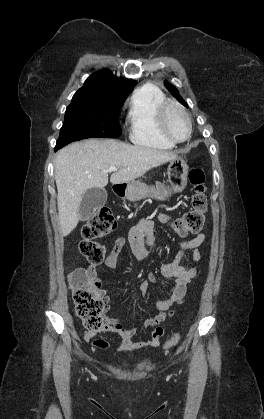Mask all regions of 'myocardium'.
I'll return each instance as SVG.
<instances>
[{
  "mask_svg": "<svg viewBox=\"0 0 264 419\" xmlns=\"http://www.w3.org/2000/svg\"><path fill=\"white\" fill-rule=\"evenodd\" d=\"M170 109H176L186 119V122L188 124V134L184 139H181V140L177 139L174 136H172L170 134V132L168 131L167 124H166V119H167V114H168ZM157 123H158V129H159L160 134L167 141H169L173 144H179V143H183V142L187 141L192 134V122H191L189 114L179 103H177L175 101H172V100H166L160 105V107L158 109V114H157Z\"/></svg>",
  "mask_w": 264,
  "mask_h": 419,
  "instance_id": "obj_1",
  "label": "myocardium"
}]
</instances>
